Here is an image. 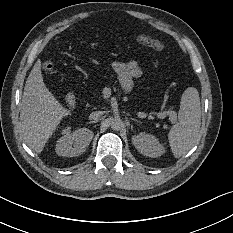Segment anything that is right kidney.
Masks as SVG:
<instances>
[{
    "label": "right kidney",
    "instance_id": "1",
    "mask_svg": "<svg viewBox=\"0 0 233 233\" xmlns=\"http://www.w3.org/2000/svg\"><path fill=\"white\" fill-rule=\"evenodd\" d=\"M63 136L57 141L55 151L59 156L74 157L85 152L94 133L87 128H80L71 133V127L62 131Z\"/></svg>",
    "mask_w": 233,
    "mask_h": 233
}]
</instances>
